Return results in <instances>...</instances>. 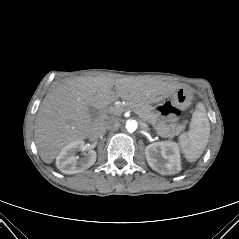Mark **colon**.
Segmentation results:
<instances>
[{"mask_svg":"<svg viewBox=\"0 0 239 239\" xmlns=\"http://www.w3.org/2000/svg\"><path fill=\"white\" fill-rule=\"evenodd\" d=\"M185 94L184 92L181 90L179 92V99L181 101H185ZM159 110L161 111L162 114L166 115V116H169L171 118H177L180 114V111L175 107L173 106L171 103L169 102H165L163 104H161L159 106Z\"/></svg>","mask_w":239,"mask_h":239,"instance_id":"5ec220e1","label":"colon"}]
</instances>
